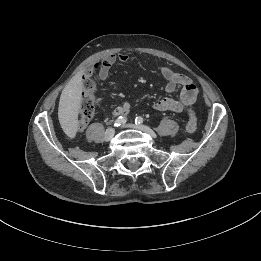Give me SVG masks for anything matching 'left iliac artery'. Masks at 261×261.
I'll use <instances>...</instances> for the list:
<instances>
[{
	"label": "left iliac artery",
	"instance_id": "obj_1",
	"mask_svg": "<svg viewBox=\"0 0 261 261\" xmlns=\"http://www.w3.org/2000/svg\"><path fill=\"white\" fill-rule=\"evenodd\" d=\"M143 121H144V119H143L141 116H138V117H136V119H135V123H136V124H142Z\"/></svg>",
	"mask_w": 261,
	"mask_h": 261
}]
</instances>
